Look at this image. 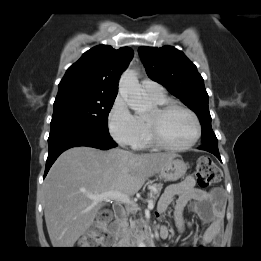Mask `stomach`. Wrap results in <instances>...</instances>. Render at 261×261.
<instances>
[{
  "label": "stomach",
  "instance_id": "0dacf381",
  "mask_svg": "<svg viewBox=\"0 0 261 261\" xmlns=\"http://www.w3.org/2000/svg\"><path fill=\"white\" fill-rule=\"evenodd\" d=\"M187 171V165L183 159L175 156L165 162V164L158 170L160 178L166 181H176Z\"/></svg>",
  "mask_w": 261,
  "mask_h": 261
}]
</instances>
